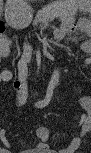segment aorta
I'll return each instance as SVG.
<instances>
[{
  "mask_svg": "<svg viewBox=\"0 0 91 153\" xmlns=\"http://www.w3.org/2000/svg\"><path fill=\"white\" fill-rule=\"evenodd\" d=\"M59 79H60L59 70L58 69H55L53 71L52 76H51L50 84L57 85L59 83Z\"/></svg>",
  "mask_w": 91,
  "mask_h": 153,
  "instance_id": "obj_1",
  "label": "aorta"
}]
</instances>
